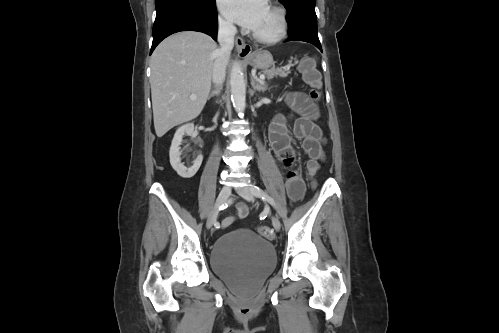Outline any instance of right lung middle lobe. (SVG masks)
<instances>
[{
  "label": "right lung middle lobe",
  "mask_w": 499,
  "mask_h": 333,
  "mask_svg": "<svg viewBox=\"0 0 499 333\" xmlns=\"http://www.w3.org/2000/svg\"><path fill=\"white\" fill-rule=\"evenodd\" d=\"M215 0H156V11L173 8L186 7L195 10H206L213 6Z\"/></svg>",
  "instance_id": "right-lung-middle-lobe-1"
}]
</instances>
